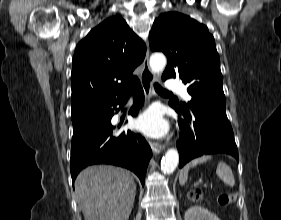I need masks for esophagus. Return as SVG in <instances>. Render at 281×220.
Segmentation results:
<instances>
[{"label": "esophagus", "instance_id": "1", "mask_svg": "<svg viewBox=\"0 0 281 220\" xmlns=\"http://www.w3.org/2000/svg\"><path fill=\"white\" fill-rule=\"evenodd\" d=\"M154 81L155 75L149 66V50H147L145 59L143 61V70L141 73V83L147 97H150L154 94ZM149 145L155 155L159 154L162 150H164V145L158 142L149 141Z\"/></svg>", "mask_w": 281, "mask_h": 220}]
</instances>
